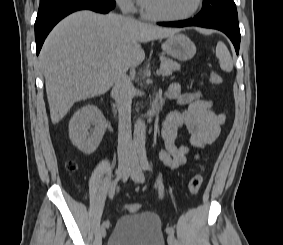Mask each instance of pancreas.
I'll return each instance as SVG.
<instances>
[{
    "instance_id": "obj_1",
    "label": "pancreas",
    "mask_w": 283,
    "mask_h": 245,
    "mask_svg": "<svg viewBox=\"0 0 283 245\" xmlns=\"http://www.w3.org/2000/svg\"><path fill=\"white\" fill-rule=\"evenodd\" d=\"M160 60H161V70L164 76L171 75L173 71L180 70V65L177 62L163 56L160 57Z\"/></svg>"
}]
</instances>
